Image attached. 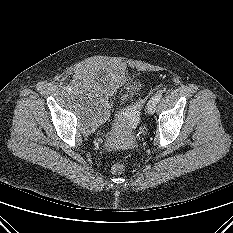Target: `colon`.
<instances>
[{
  "label": "colon",
  "instance_id": "5ec220e1",
  "mask_svg": "<svg viewBox=\"0 0 233 233\" xmlns=\"http://www.w3.org/2000/svg\"><path fill=\"white\" fill-rule=\"evenodd\" d=\"M125 170L126 165L122 162L115 163L111 167V172L116 175L122 174Z\"/></svg>",
  "mask_w": 233,
  "mask_h": 233
}]
</instances>
